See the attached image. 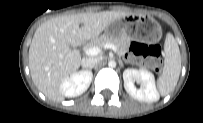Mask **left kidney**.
<instances>
[{
    "mask_svg": "<svg viewBox=\"0 0 203 123\" xmlns=\"http://www.w3.org/2000/svg\"><path fill=\"white\" fill-rule=\"evenodd\" d=\"M124 88L127 93L143 102H156L159 100V94L156 90L154 75L146 70L126 69L123 72ZM140 84L136 88L135 82Z\"/></svg>",
    "mask_w": 203,
    "mask_h": 123,
    "instance_id": "left-kidney-1",
    "label": "left kidney"
}]
</instances>
